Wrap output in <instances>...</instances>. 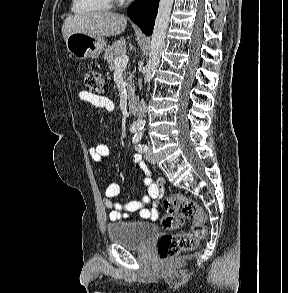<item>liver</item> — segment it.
<instances>
[{"mask_svg":"<svg viewBox=\"0 0 288 293\" xmlns=\"http://www.w3.org/2000/svg\"><path fill=\"white\" fill-rule=\"evenodd\" d=\"M126 25L127 19L124 15L109 11L75 14L65 19L62 34L65 41L72 32L111 37L121 34Z\"/></svg>","mask_w":288,"mask_h":293,"instance_id":"6515ba94","label":"liver"}]
</instances>
